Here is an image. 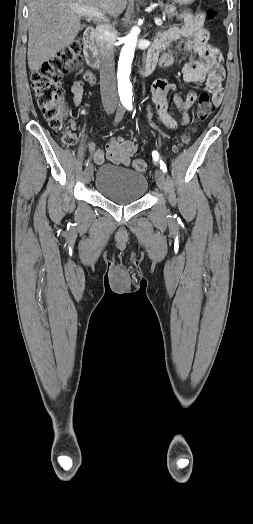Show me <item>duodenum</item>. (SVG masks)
<instances>
[{"mask_svg": "<svg viewBox=\"0 0 253 524\" xmlns=\"http://www.w3.org/2000/svg\"><path fill=\"white\" fill-rule=\"evenodd\" d=\"M95 29L93 27H88L83 33V42H84V57L87 64L95 69H98L101 65L100 58L98 55L97 48L94 43ZM153 70V65L151 63L145 62L140 65L139 73L140 75H147Z\"/></svg>", "mask_w": 253, "mask_h": 524, "instance_id": "410a0bca", "label": "duodenum"}]
</instances>
